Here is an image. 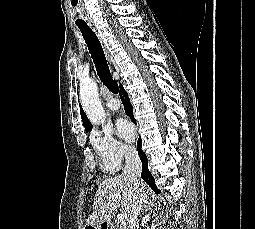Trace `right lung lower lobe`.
Segmentation results:
<instances>
[{
    "instance_id": "obj_1",
    "label": "right lung lower lobe",
    "mask_w": 255,
    "mask_h": 229,
    "mask_svg": "<svg viewBox=\"0 0 255 229\" xmlns=\"http://www.w3.org/2000/svg\"><path fill=\"white\" fill-rule=\"evenodd\" d=\"M120 98H121L122 103L124 105L126 114L136 124V121H135V119L133 117L132 105L130 104V101L128 99V94H127V92L124 90V88L122 86L120 87ZM137 146H138V154H139V157H140L141 162H142V174H141V177L153 189L154 192L160 193V190H158L156 185H155V180H154L153 176L151 175V173L148 170V167H147V157H146V154L141 150L142 141H141L140 137L138 139Z\"/></svg>"
}]
</instances>
